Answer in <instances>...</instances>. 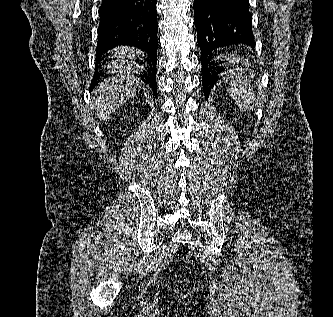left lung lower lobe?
<instances>
[{"label": "left lung lower lobe", "instance_id": "0a47b994", "mask_svg": "<svg viewBox=\"0 0 333 317\" xmlns=\"http://www.w3.org/2000/svg\"><path fill=\"white\" fill-rule=\"evenodd\" d=\"M194 24L201 49L202 85L207 99L227 70L218 55L225 46L245 44L254 48L249 0H194ZM230 52V51H229Z\"/></svg>", "mask_w": 333, "mask_h": 317}]
</instances>
